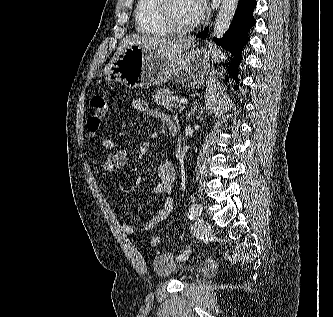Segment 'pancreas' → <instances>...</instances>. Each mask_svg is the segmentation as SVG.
<instances>
[{
  "instance_id": "cf45deb5",
  "label": "pancreas",
  "mask_w": 333,
  "mask_h": 317,
  "mask_svg": "<svg viewBox=\"0 0 333 317\" xmlns=\"http://www.w3.org/2000/svg\"><path fill=\"white\" fill-rule=\"evenodd\" d=\"M172 92L168 88L158 89L153 95L154 102L170 111H173L174 108H178V105L173 104L171 101ZM184 107H179V112H182Z\"/></svg>"
}]
</instances>
